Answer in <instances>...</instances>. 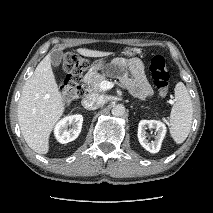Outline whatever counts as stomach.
Returning <instances> with one entry per match:
<instances>
[{
  "mask_svg": "<svg viewBox=\"0 0 213 213\" xmlns=\"http://www.w3.org/2000/svg\"><path fill=\"white\" fill-rule=\"evenodd\" d=\"M140 52V49L138 48H126L122 53L126 56H134ZM106 68V64L104 61L100 60L98 62H94L91 67L90 71L96 72L98 70H103Z\"/></svg>",
  "mask_w": 213,
  "mask_h": 213,
  "instance_id": "1",
  "label": "stomach"
}]
</instances>
